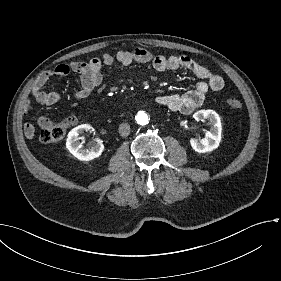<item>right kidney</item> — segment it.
<instances>
[{"label":"right kidney","instance_id":"ca27d5eb","mask_svg":"<svg viewBox=\"0 0 281 281\" xmlns=\"http://www.w3.org/2000/svg\"><path fill=\"white\" fill-rule=\"evenodd\" d=\"M91 126L87 124L79 125L70 131V153L73 154L75 158L81 161H91L94 160L102 154L104 151V145L91 144L89 148L83 147L80 143V136L84 131H92Z\"/></svg>","mask_w":281,"mask_h":281}]
</instances>
